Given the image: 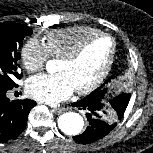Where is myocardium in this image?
Here are the masks:
<instances>
[{"instance_id":"myocardium-1","label":"myocardium","mask_w":153,"mask_h":153,"mask_svg":"<svg viewBox=\"0 0 153 153\" xmlns=\"http://www.w3.org/2000/svg\"><path fill=\"white\" fill-rule=\"evenodd\" d=\"M108 38L111 41V53L109 56V59L103 68L102 72L99 74V76L89 85L83 88H77L75 91L80 94V95H85L88 94L92 91H94L96 88H98L104 80L107 78L112 65L115 60L116 56V50H117V44L115 39L109 35L108 33L100 32L94 35H91L87 38H85L83 41H81L71 52L67 53L66 55L62 56L60 60L66 61V62H73L75 61L85 50V48L94 40L99 39V38Z\"/></svg>"}]
</instances>
